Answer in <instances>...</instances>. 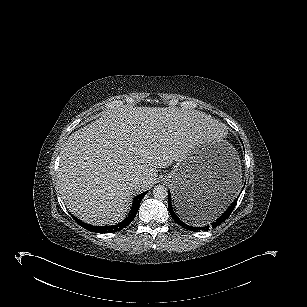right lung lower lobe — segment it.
I'll use <instances>...</instances> for the list:
<instances>
[{
    "label": "right lung lower lobe",
    "instance_id": "obj_1",
    "mask_svg": "<svg viewBox=\"0 0 307 307\" xmlns=\"http://www.w3.org/2000/svg\"><path fill=\"white\" fill-rule=\"evenodd\" d=\"M147 194V192H144L140 195H138L134 201H133V205H132V209L131 212L129 214V216L122 222L116 224V225H111V226H93V225H89L86 224L84 222H82L81 220L77 219L76 217H73V219L79 224L81 225L83 228L95 232V233H113V232H117L123 228H125L126 226H128L132 220L135 218L137 211L139 209L140 206V202L142 201L143 197Z\"/></svg>",
    "mask_w": 307,
    "mask_h": 307
}]
</instances>
